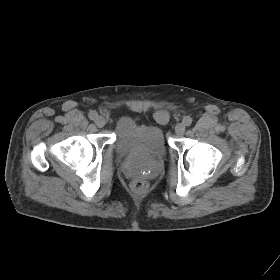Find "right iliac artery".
I'll list each match as a JSON object with an SVG mask.
<instances>
[{"instance_id": "right-iliac-artery-1", "label": "right iliac artery", "mask_w": 280, "mask_h": 280, "mask_svg": "<svg viewBox=\"0 0 280 280\" xmlns=\"http://www.w3.org/2000/svg\"><path fill=\"white\" fill-rule=\"evenodd\" d=\"M88 116L91 120H96L98 117V113L96 111H91Z\"/></svg>"}]
</instances>
